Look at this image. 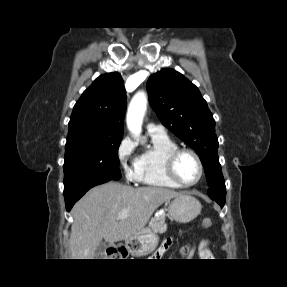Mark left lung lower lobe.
I'll return each mask as SVG.
<instances>
[{
	"label": "left lung lower lobe",
	"mask_w": 287,
	"mask_h": 287,
	"mask_svg": "<svg viewBox=\"0 0 287 287\" xmlns=\"http://www.w3.org/2000/svg\"><path fill=\"white\" fill-rule=\"evenodd\" d=\"M211 199H212V198H211ZM213 200H215L221 207H223L224 204H225V201H224V200H216V199H213Z\"/></svg>",
	"instance_id": "1"
}]
</instances>
